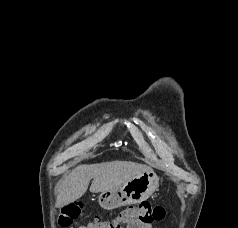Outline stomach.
<instances>
[{
  "instance_id": "stomach-1",
  "label": "stomach",
  "mask_w": 238,
  "mask_h": 228,
  "mask_svg": "<svg viewBox=\"0 0 238 228\" xmlns=\"http://www.w3.org/2000/svg\"><path fill=\"white\" fill-rule=\"evenodd\" d=\"M159 187V177L153 171L135 176L122 186L101 192L98 197L100 206L107 210L136 204L149 198Z\"/></svg>"
}]
</instances>
